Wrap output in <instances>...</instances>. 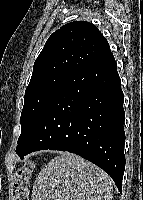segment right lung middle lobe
Returning a JSON list of instances; mask_svg holds the SVG:
<instances>
[{
    "label": "right lung middle lobe",
    "mask_w": 143,
    "mask_h": 200,
    "mask_svg": "<svg viewBox=\"0 0 143 200\" xmlns=\"http://www.w3.org/2000/svg\"><path fill=\"white\" fill-rule=\"evenodd\" d=\"M69 77L65 74H52L30 82L25 91L24 106L21 112V135L18 139V151L33 119L48 98Z\"/></svg>",
    "instance_id": "dd1d6c3e"
}]
</instances>
